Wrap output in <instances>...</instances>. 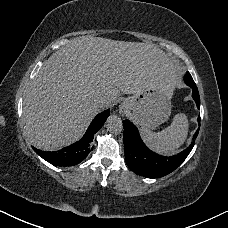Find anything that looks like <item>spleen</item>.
<instances>
[{
	"instance_id": "1",
	"label": "spleen",
	"mask_w": 228,
	"mask_h": 228,
	"mask_svg": "<svg viewBox=\"0 0 228 228\" xmlns=\"http://www.w3.org/2000/svg\"><path fill=\"white\" fill-rule=\"evenodd\" d=\"M189 122L184 113L176 114L170 126L160 132H153L141 125L143 140L153 151L170 155L186 140Z\"/></svg>"
}]
</instances>
